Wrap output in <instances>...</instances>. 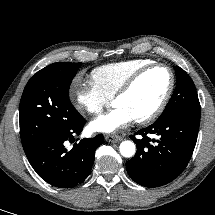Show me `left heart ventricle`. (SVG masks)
Returning <instances> with one entry per match:
<instances>
[{
	"mask_svg": "<svg viewBox=\"0 0 215 215\" xmlns=\"http://www.w3.org/2000/svg\"><path fill=\"white\" fill-rule=\"evenodd\" d=\"M170 83L165 68H155L146 73L126 95L116 99L115 107H125L134 119L151 113L162 100Z\"/></svg>",
	"mask_w": 215,
	"mask_h": 215,
	"instance_id": "obj_1",
	"label": "left heart ventricle"
}]
</instances>
